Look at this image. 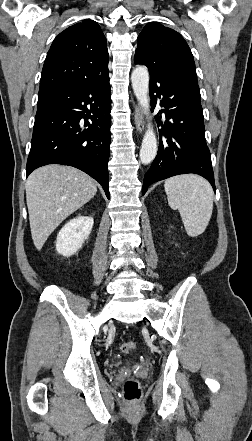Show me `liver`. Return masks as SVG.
<instances>
[{
  "instance_id": "obj_1",
  "label": "liver",
  "mask_w": 252,
  "mask_h": 441,
  "mask_svg": "<svg viewBox=\"0 0 252 441\" xmlns=\"http://www.w3.org/2000/svg\"><path fill=\"white\" fill-rule=\"evenodd\" d=\"M96 192V182L74 167L52 164L33 171L26 181V201L37 250L63 220Z\"/></svg>"
}]
</instances>
